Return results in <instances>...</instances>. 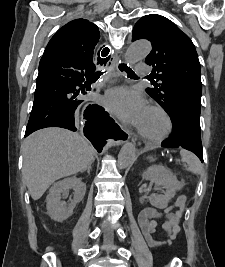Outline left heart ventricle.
I'll list each match as a JSON object with an SVG mask.
<instances>
[{
  "label": "left heart ventricle",
  "instance_id": "b2bd125f",
  "mask_svg": "<svg viewBox=\"0 0 225 267\" xmlns=\"http://www.w3.org/2000/svg\"><path fill=\"white\" fill-rule=\"evenodd\" d=\"M165 127L166 122L163 116L159 112L147 108L139 129L148 136H157L164 131Z\"/></svg>",
  "mask_w": 225,
  "mask_h": 267
}]
</instances>
